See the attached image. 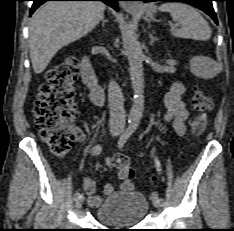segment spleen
<instances>
[{
    "label": "spleen",
    "instance_id": "3e777b00",
    "mask_svg": "<svg viewBox=\"0 0 234 231\" xmlns=\"http://www.w3.org/2000/svg\"><path fill=\"white\" fill-rule=\"evenodd\" d=\"M162 12H169L173 21L181 28L172 30L175 37L206 41L211 37L208 22L190 5L179 2H167L159 7Z\"/></svg>",
    "mask_w": 234,
    "mask_h": 231
}]
</instances>
